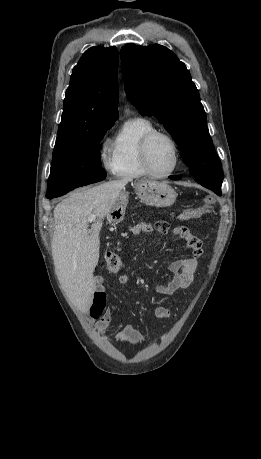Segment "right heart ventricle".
<instances>
[{
  "mask_svg": "<svg viewBox=\"0 0 261 459\" xmlns=\"http://www.w3.org/2000/svg\"><path fill=\"white\" fill-rule=\"evenodd\" d=\"M154 130L156 127L151 120L136 118L118 133L110 147L114 173L118 177L130 179L148 174L141 162L140 147L143 138Z\"/></svg>",
  "mask_w": 261,
  "mask_h": 459,
  "instance_id": "1",
  "label": "right heart ventricle"
}]
</instances>
